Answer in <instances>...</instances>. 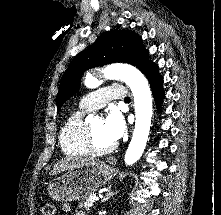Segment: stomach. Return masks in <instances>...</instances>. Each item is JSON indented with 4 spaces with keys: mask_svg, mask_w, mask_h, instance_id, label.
Here are the masks:
<instances>
[{
    "mask_svg": "<svg viewBox=\"0 0 221 215\" xmlns=\"http://www.w3.org/2000/svg\"><path fill=\"white\" fill-rule=\"evenodd\" d=\"M114 169L100 160L67 171L48 185V194L56 201H79L89 198L109 182Z\"/></svg>",
    "mask_w": 221,
    "mask_h": 215,
    "instance_id": "obj_1",
    "label": "stomach"
}]
</instances>
